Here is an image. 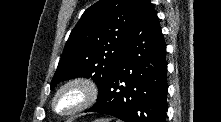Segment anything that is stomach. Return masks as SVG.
I'll return each mask as SVG.
<instances>
[{"instance_id":"obj_1","label":"stomach","mask_w":221,"mask_h":122,"mask_svg":"<svg viewBox=\"0 0 221 122\" xmlns=\"http://www.w3.org/2000/svg\"><path fill=\"white\" fill-rule=\"evenodd\" d=\"M95 122H109L108 119H100V120H96Z\"/></svg>"}]
</instances>
